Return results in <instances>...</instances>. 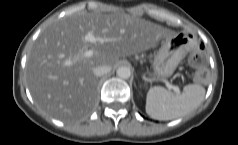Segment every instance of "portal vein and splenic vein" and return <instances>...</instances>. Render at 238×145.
Returning <instances> with one entry per match:
<instances>
[{
  "label": "portal vein and splenic vein",
  "mask_w": 238,
  "mask_h": 145,
  "mask_svg": "<svg viewBox=\"0 0 238 145\" xmlns=\"http://www.w3.org/2000/svg\"><path fill=\"white\" fill-rule=\"evenodd\" d=\"M85 40L94 44L98 41V39L91 33H88L86 36H85ZM101 42H104L103 39L100 40ZM93 55V50L92 49H89L87 50L85 53H84V56L85 57H91ZM166 87L169 89V90H174L176 93H180V89L178 86H175V85H172L170 84L169 82H166L165 83Z\"/></svg>",
  "instance_id": "1"
}]
</instances>
